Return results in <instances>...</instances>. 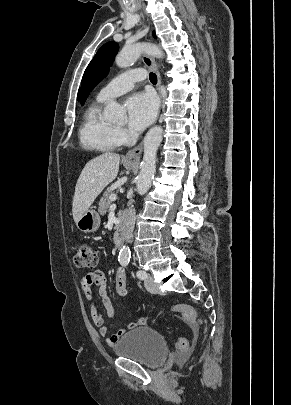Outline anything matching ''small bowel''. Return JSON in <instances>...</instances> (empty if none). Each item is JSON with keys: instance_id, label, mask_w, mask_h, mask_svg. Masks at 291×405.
Instances as JSON below:
<instances>
[{"instance_id": "1", "label": "small bowel", "mask_w": 291, "mask_h": 405, "mask_svg": "<svg viewBox=\"0 0 291 405\" xmlns=\"http://www.w3.org/2000/svg\"><path fill=\"white\" fill-rule=\"evenodd\" d=\"M94 285L97 286L98 288V294L101 297L106 315L110 318L113 317L114 307L111 298L108 295L107 276L104 271L96 270L94 272L84 275L81 278V289L85 295L93 324L98 328L99 334L105 338L106 343L108 345H114L119 340V338H121L126 333L127 330L119 329L114 334L108 335V327L105 325L104 318L102 314L98 311L93 298L92 288ZM142 324H144V318L138 317L134 322L128 325V330L133 329Z\"/></svg>"}]
</instances>
